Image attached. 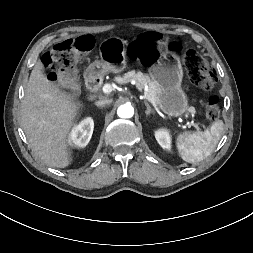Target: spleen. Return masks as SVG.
<instances>
[{"label":"spleen","mask_w":253,"mask_h":253,"mask_svg":"<svg viewBox=\"0 0 253 253\" xmlns=\"http://www.w3.org/2000/svg\"><path fill=\"white\" fill-rule=\"evenodd\" d=\"M223 122L215 121L204 132L179 134L176 145L180 157L188 163H197L207 158L216 148L223 132Z\"/></svg>","instance_id":"1"}]
</instances>
